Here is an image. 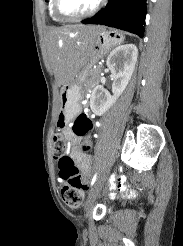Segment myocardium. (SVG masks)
Segmentation results:
<instances>
[{
    "instance_id": "myocardium-1",
    "label": "myocardium",
    "mask_w": 183,
    "mask_h": 246,
    "mask_svg": "<svg viewBox=\"0 0 183 246\" xmlns=\"http://www.w3.org/2000/svg\"><path fill=\"white\" fill-rule=\"evenodd\" d=\"M105 0H98L96 4L85 13L79 14V15H68L64 13L61 9V0H53V10L55 15L60 18L61 20L65 21H78L85 18H88L92 15H94L96 12L99 11V9L103 6Z\"/></svg>"
}]
</instances>
